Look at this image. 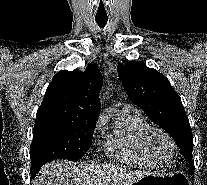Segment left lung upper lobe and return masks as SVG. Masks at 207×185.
I'll return each instance as SVG.
<instances>
[{
  "instance_id": "obj_1",
  "label": "left lung upper lobe",
  "mask_w": 207,
  "mask_h": 185,
  "mask_svg": "<svg viewBox=\"0 0 207 185\" xmlns=\"http://www.w3.org/2000/svg\"><path fill=\"white\" fill-rule=\"evenodd\" d=\"M118 76L129 99L172 136L194 173L193 137L189 120L181 98L169 80L143 62L118 64Z\"/></svg>"
}]
</instances>
